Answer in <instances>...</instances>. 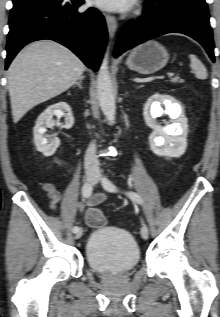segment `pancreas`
<instances>
[{
    "label": "pancreas",
    "mask_w": 220,
    "mask_h": 317,
    "mask_svg": "<svg viewBox=\"0 0 220 317\" xmlns=\"http://www.w3.org/2000/svg\"><path fill=\"white\" fill-rule=\"evenodd\" d=\"M183 80L179 79V78H174L171 80V82L177 83V82H182Z\"/></svg>",
    "instance_id": "pancreas-1"
}]
</instances>
